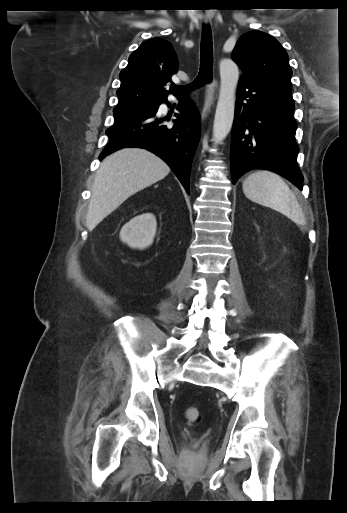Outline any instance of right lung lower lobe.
I'll use <instances>...</instances> for the list:
<instances>
[{
	"label": "right lung lower lobe",
	"mask_w": 347,
	"mask_h": 513,
	"mask_svg": "<svg viewBox=\"0 0 347 513\" xmlns=\"http://www.w3.org/2000/svg\"><path fill=\"white\" fill-rule=\"evenodd\" d=\"M177 106L173 126L167 125L169 117L157 115L159 105L114 115V124L106 134L109 143L99 156L124 147L145 148L161 157L176 174L187 193L192 160L200 139V116L187 96H182Z\"/></svg>",
	"instance_id": "1"
}]
</instances>
